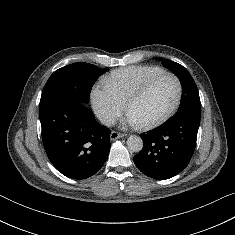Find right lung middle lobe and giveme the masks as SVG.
Instances as JSON below:
<instances>
[{
  "label": "right lung middle lobe",
  "mask_w": 235,
  "mask_h": 235,
  "mask_svg": "<svg viewBox=\"0 0 235 235\" xmlns=\"http://www.w3.org/2000/svg\"><path fill=\"white\" fill-rule=\"evenodd\" d=\"M106 71L89 63H74L56 70L42 91L39 110L61 99L87 104L94 82Z\"/></svg>",
  "instance_id": "1"
}]
</instances>
